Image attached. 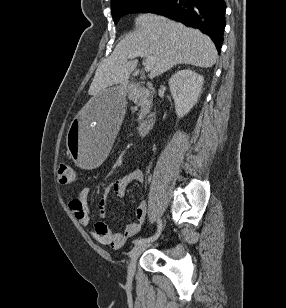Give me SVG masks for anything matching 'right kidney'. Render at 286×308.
I'll return each instance as SVG.
<instances>
[{
    "label": "right kidney",
    "mask_w": 286,
    "mask_h": 308,
    "mask_svg": "<svg viewBox=\"0 0 286 308\" xmlns=\"http://www.w3.org/2000/svg\"><path fill=\"white\" fill-rule=\"evenodd\" d=\"M203 83V77L190 69L178 71L170 78L168 84L178 118L186 115L198 102Z\"/></svg>",
    "instance_id": "right-kidney-1"
}]
</instances>
